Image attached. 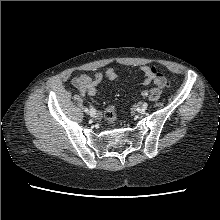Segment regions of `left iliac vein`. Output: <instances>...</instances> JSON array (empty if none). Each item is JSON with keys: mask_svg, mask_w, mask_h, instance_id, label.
Masks as SVG:
<instances>
[{"mask_svg": "<svg viewBox=\"0 0 220 220\" xmlns=\"http://www.w3.org/2000/svg\"><path fill=\"white\" fill-rule=\"evenodd\" d=\"M148 107V104L147 103H143V105L141 106V110L142 111H145Z\"/></svg>", "mask_w": 220, "mask_h": 220, "instance_id": "obj_1", "label": "left iliac vein"}]
</instances>
